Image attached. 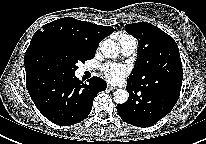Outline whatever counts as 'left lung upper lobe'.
<instances>
[{
    "label": "left lung upper lobe",
    "mask_w": 206,
    "mask_h": 144,
    "mask_svg": "<svg viewBox=\"0 0 206 144\" xmlns=\"http://www.w3.org/2000/svg\"><path fill=\"white\" fill-rule=\"evenodd\" d=\"M125 30L138 40V57L128 80L156 88L182 85V62L171 36L147 22L126 24Z\"/></svg>",
    "instance_id": "obj_1"
}]
</instances>
